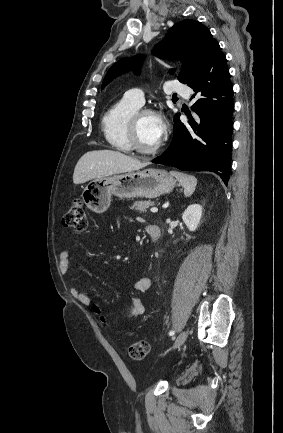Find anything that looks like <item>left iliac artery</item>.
Here are the masks:
<instances>
[{
	"instance_id": "1",
	"label": "left iliac artery",
	"mask_w": 283,
	"mask_h": 433,
	"mask_svg": "<svg viewBox=\"0 0 283 433\" xmlns=\"http://www.w3.org/2000/svg\"><path fill=\"white\" fill-rule=\"evenodd\" d=\"M175 334V331H173V330H171L170 332H169V335L170 336H173Z\"/></svg>"
}]
</instances>
